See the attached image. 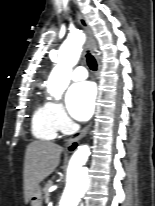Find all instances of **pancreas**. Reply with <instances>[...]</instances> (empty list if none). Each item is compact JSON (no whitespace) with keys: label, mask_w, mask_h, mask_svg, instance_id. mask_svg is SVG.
I'll list each match as a JSON object with an SVG mask.
<instances>
[{"label":"pancreas","mask_w":155,"mask_h":206,"mask_svg":"<svg viewBox=\"0 0 155 206\" xmlns=\"http://www.w3.org/2000/svg\"><path fill=\"white\" fill-rule=\"evenodd\" d=\"M53 182L52 181H48V183L45 185L44 189H43V192L45 194V199L46 201L49 200V188L52 186Z\"/></svg>","instance_id":"cf45deb5"}]
</instances>
